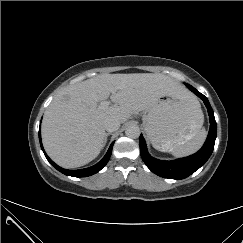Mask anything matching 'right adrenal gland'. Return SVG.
I'll return each mask as SVG.
<instances>
[{
	"label": "right adrenal gland",
	"mask_w": 243,
	"mask_h": 243,
	"mask_svg": "<svg viewBox=\"0 0 243 243\" xmlns=\"http://www.w3.org/2000/svg\"><path fill=\"white\" fill-rule=\"evenodd\" d=\"M109 135H111V133H106L103 146H105Z\"/></svg>",
	"instance_id": "2a0ac1e0"
}]
</instances>
